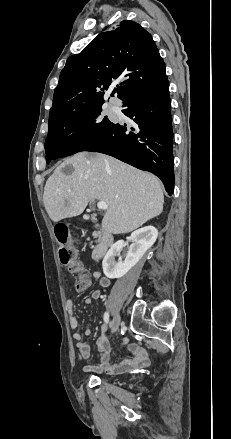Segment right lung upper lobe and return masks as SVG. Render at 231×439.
I'll list each match as a JSON object with an SVG mask.
<instances>
[{
    "mask_svg": "<svg viewBox=\"0 0 231 439\" xmlns=\"http://www.w3.org/2000/svg\"><path fill=\"white\" fill-rule=\"evenodd\" d=\"M165 78V63L151 34L138 23L124 20L67 59L54 91L49 121L102 106L104 92L116 80L119 84L114 90L125 102Z\"/></svg>",
    "mask_w": 231,
    "mask_h": 439,
    "instance_id": "right-lung-upper-lobe-1",
    "label": "right lung upper lobe"
}]
</instances>
